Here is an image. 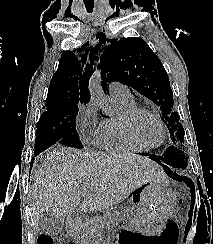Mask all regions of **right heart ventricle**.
I'll list each match as a JSON object with an SVG mask.
<instances>
[{
	"instance_id": "right-heart-ventricle-1",
	"label": "right heart ventricle",
	"mask_w": 213,
	"mask_h": 244,
	"mask_svg": "<svg viewBox=\"0 0 213 244\" xmlns=\"http://www.w3.org/2000/svg\"><path fill=\"white\" fill-rule=\"evenodd\" d=\"M114 100L119 106V113L117 116L105 118L100 122L95 144L105 150L120 153L145 151L146 148L136 144L127 137L121 123L122 114L137 108V103L133 98L129 100L114 98Z\"/></svg>"
}]
</instances>
